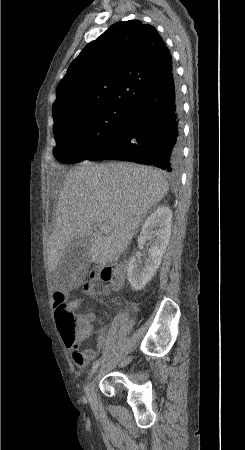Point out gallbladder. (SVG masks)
Here are the masks:
<instances>
[{
  "mask_svg": "<svg viewBox=\"0 0 245 450\" xmlns=\"http://www.w3.org/2000/svg\"><path fill=\"white\" fill-rule=\"evenodd\" d=\"M91 245L90 238L76 237L61 257L55 269L56 275L69 281H72L75 276L83 279L90 263L89 251Z\"/></svg>",
  "mask_w": 245,
  "mask_h": 450,
  "instance_id": "1",
  "label": "gallbladder"
}]
</instances>
